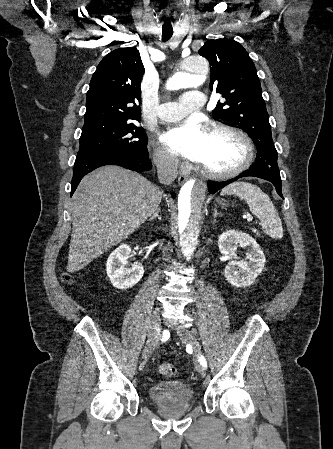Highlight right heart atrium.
I'll use <instances>...</instances> for the list:
<instances>
[{"label": "right heart atrium", "instance_id": "d8ad5b80", "mask_svg": "<svg viewBox=\"0 0 333 449\" xmlns=\"http://www.w3.org/2000/svg\"><path fill=\"white\" fill-rule=\"evenodd\" d=\"M153 160L156 166L168 173H176L180 169L178 158L165 148L156 146L153 150Z\"/></svg>", "mask_w": 333, "mask_h": 449}]
</instances>
